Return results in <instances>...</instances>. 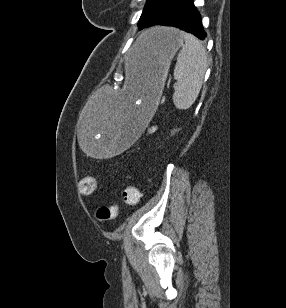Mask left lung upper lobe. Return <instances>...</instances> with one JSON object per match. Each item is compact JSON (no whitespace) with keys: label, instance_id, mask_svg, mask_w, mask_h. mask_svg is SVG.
I'll use <instances>...</instances> for the list:
<instances>
[{"label":"left lung upper lobe","instance_id":"left-lung-upper-lobe-1","mask_svg":"<svg viewBox=\"0 0 286 308\" xmlns=\"http://www.w3.org/2000/svg\"><path fill=\"white\" fill-rule=\"evenodd\" d=\"M172 0H147L138 27L143 29L151 25L158 14L167 7Z\"/></svg>","mask_w":286,"mask_h":308}]
</instances>
